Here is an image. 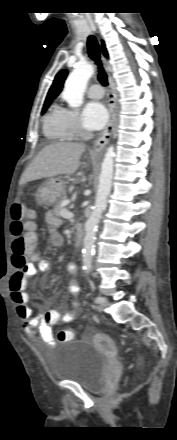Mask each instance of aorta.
Instances as JSON below:
<instances>
[{"instance_id":"1","label":"aorta","mask_w":177,"mask_h":440,"mask_svg":"<svg viewBox=\"0 0 177 440\" xmlns=\"http://www.w3.org/2000/svg\"><path fill=\"white\" fill-rule=\"evenodd\" d=\"M93 73L94 66L88 62L79 63L70 73L65 82L63 91V98L67 101L70 107L76 108L82 104L86 85ZM113 156L114 148L113 146H110L108 147L102 162L99 186L93 211L85 223L82 261L83 269L86 272H89L91 269L98 223L102 212L107 207V199L112 187Z\"/></svg>"}]
</instances>
